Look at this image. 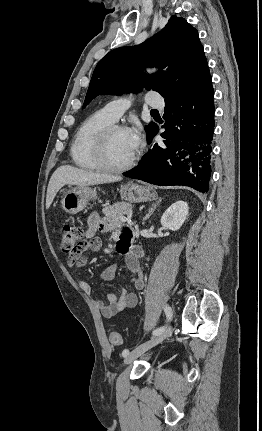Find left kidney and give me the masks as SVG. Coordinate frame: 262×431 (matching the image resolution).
Returning a JSON list of instances; mask_svg holds the SVG:
<instances>
[{
	"mask_svg": "<svg viewBox=\"0 0 262 431\" xmlns=\"http://www.w3.org/2000/svg\"><path fill=\"white\" fill-rule=\"evenodd\" d=\"M188 204L184 201H177L172 204L163 214L161 224L170 230H178L187 219L189 213Z\"/></svg>",
	"mask_w": 262,
	"mask_h": 431,
	"instance_id": "left-kidney-1",
	"label": "left kidney"
}]
</instances>
